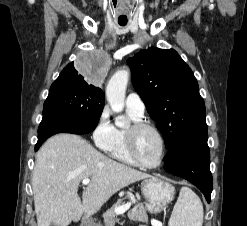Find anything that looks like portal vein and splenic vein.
<instances>
[{
	"label": "portal vein and splenic vein",
	"instance_id": "obj_1",
	"mask_svg": "<svg viewBox=\"0 0 247 226\" xmlns=\"http://www.w3.org/2000/svg\"><path fill=\"white\" fill-rule=\"evenodd\" d=\"M90 182H91L90 179H83L82 180L83 185H88ZM130 206H131V203H126L124 205H121L115 209V213L116 214H122V213L126 212L130 208Z\"/></svg>",
	"mask_w": 247,
	"mask_h": 226
}]
</instances>
